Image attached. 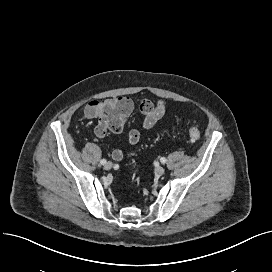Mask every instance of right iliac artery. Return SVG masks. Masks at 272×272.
Masks as SVG:
<instances>
[{
  "label": "right iliac artery",
  "instance_id": "82829eb1",
  "mask_svg": "<svg viewBox=\"0 0 272 272\" xmlns=\"http://www.w3.org/2000/svg\"><path fill=\"white\" fill-rule=\"evenodd\" d=\"M106 160L105 159H102L101 161H100V164H102V165H104V164H106Z\"/></svg>",
  "mask_w": 272,
  "mask_h": 272
}]
</instances>
